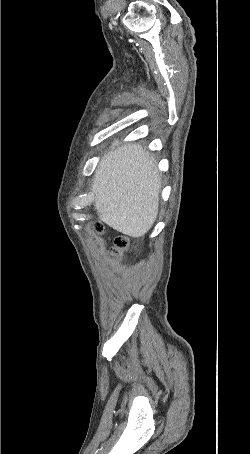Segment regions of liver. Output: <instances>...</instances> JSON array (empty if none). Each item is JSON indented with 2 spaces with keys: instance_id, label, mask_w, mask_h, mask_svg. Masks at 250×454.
I'll return each instance as SVG.
<instances>
[{
  "instance_id": "1",
  "label": "liver",
  "mask_w": 250,
  "mask_h": 454,
  "mask_svg": "<svg viewBox=\"0 0 250 454\" xmlns=\"http://www.w3.org/2000/svg\"><path fill=\"white\" fill-rule=\"evenodd\" d=\"M160 189L154 157L140 144L122 145L105 154L95 171V210L114 230L144 237L157 218Z\"/></svg>"
}]
</instances>
